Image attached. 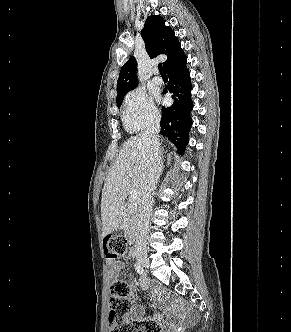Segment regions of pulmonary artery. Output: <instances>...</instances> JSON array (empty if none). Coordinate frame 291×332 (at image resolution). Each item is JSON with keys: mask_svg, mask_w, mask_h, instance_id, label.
<instances>
[{"mask_svg": "<svg viewBox=\"0 0 291 332\" xmlns=\"http://www.w3.org/2000/svg\"><path fill=\"white\" fill-rule=\"evenodd\" d=\"M152 81H153L155 84H157V85H160V84L163 83L162 78H161L160 76H158V75H155V76L153 77Z\"/></svg>", "mask_w": 291, "mask_h": 332, "instance_id": "obj_1", "label": "pulmonary artery"}]
</instances>
